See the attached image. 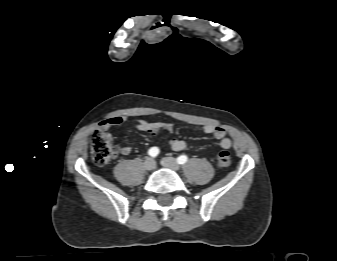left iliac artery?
<instances>
[{"mask_svg": "<svg viewBox=\"0 0 337 261\" xmlns=\"http://www.w3.org/2000/svg\"><path fill=\"white\" fill-rule=\"evenodd\" d=\"M188 160V157L186 155H181L177 158V162L179 164H185Z\"/></svg>", "mask_w": 337, "mask_h": 261, "instance_id": "obj_1", "label": "left iliac artery"}]
</instances>
